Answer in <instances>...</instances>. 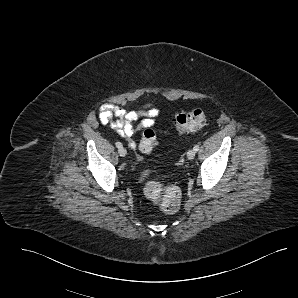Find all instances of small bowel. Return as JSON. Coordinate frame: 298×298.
<instances>
[{"instance_id": "c3829d8e", "label": "small bowel", "mask_w": 298, "mask_h": 298, "mask_svg": "<svg viewBox=\"0 0 298 298\" xmlns=\"http://www.w3.org/2000/svg\"><path fill=\"white\" fill-rule=\"evenodd\" d=\"M159 115V109L154 103H147L136 110L127 111L122 107L106 103L100 107L99 121L102 124H110L116 134L130 141L135 147V142L131 139L138 128H150L155 124V119ZM144 117L138 127L133 123L140 117Z\"/></svg>"}]
</instances>
